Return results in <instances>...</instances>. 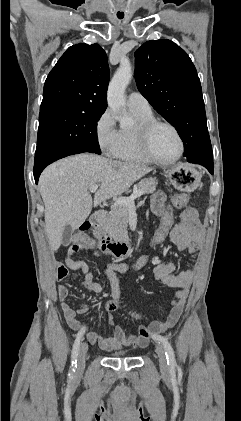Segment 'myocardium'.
Segmentation results:
<instances>
[{
    "label": "myocardium",
    "instance_id": "myocardium-1",
    "mask_svg": "<svg viewBox=\"0 0 241 421\" xmlns=\"http://www.w3.org/2000/svg\"><path fill=\"white\" fill-rule=\"evenodd\" d=\"M159 126H166V127L170 128L175 133V135L177 136V139L179 141V152H178V154L175 157H173L171 159H168V160H163V159L158 158L153 153V151L151 149V144H150L151 135H152L153 131ZM137 135H138V142H139V146H140L141 151L151 162H154L156 164H159V165L173 164V163L177 162L182 157V155L185 151V143H184L183 137H182L179 129L174 124H172L171 122L154 118V119L149 120L145 123H142L138 127Z\"/></svg>",
    "mask_w": 241,
    "mask_h": 421
}]
</instances>
